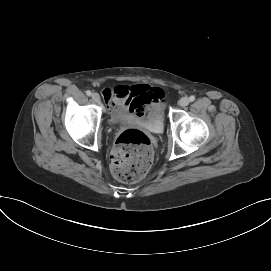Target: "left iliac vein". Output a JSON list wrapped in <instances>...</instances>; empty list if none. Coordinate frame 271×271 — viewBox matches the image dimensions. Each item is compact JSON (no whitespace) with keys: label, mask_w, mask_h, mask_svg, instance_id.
<instances>
[{"label":"left iliac vein","mask_w":271,"mask_h":271,"mask_svg":"<svg viewBox=\"0 0 271 271\" xmlns=\"http://www.w3.org/2000/svg\"><path fill=\"white\" fill-rule=\"evenodd\" d=\"M190 103V100L188 97H182L180 100H179V105L181 107H185L187 106L188 104Z\"/></svg>","instance_id":"4c4485c4"}]
</instances>
